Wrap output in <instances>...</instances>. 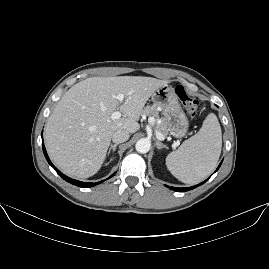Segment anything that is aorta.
<instances>
[{
    "label": "aorta",
    "mask_w": 269,
    "mask_h": 269,
    "mask_svg": "<svg viewBox=\"0 0 269 269\" xmlns=\"http://www.w3.org/2000/svg\"><path fill=\"white\" fill-rule=\"evenodd\" d=\"M135 149L140 154H145L150 150V141L147 139H140L135 145Z\"/></svg>",
    "instance_id": "762f6f07"
}]
</instances>
